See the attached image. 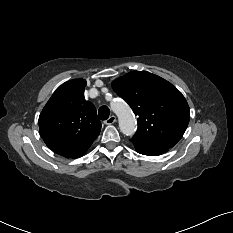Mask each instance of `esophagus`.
Masks as SVG:
<instances>
[{
  "label": "esophagus",
  "instance_id": "esophagus-1",
  "mask_svg": "<svg viewBox=\"0 0 233 233\" xmlns=\"http://www.w3.org/2000/svg\"><path fill=\"white\" fill-rule=\"evenodd\" d=\"M116 116L115 115H111L106 121H105V124H107V125H111V124H113V123H115L116 122Z\"/></svg>",
  "mask_w": 233,
  "mask_h": 233
}]
</instances>
